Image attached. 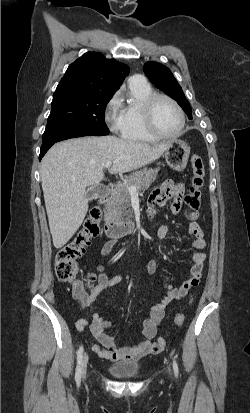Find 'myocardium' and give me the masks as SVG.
I'll list each match as a JSON object with an SVG mask.
<instances>
[{
  "instance_id": "1",
  "label": "myocardium",
  "mask_w": 250,
  "mask_h": 413,
  "mask_svg": "<svg viewBox=\"0 0 250 413\" xmlns=\"http://www.w3.org/2000/svg\"><path fill=\"white\" fill-rule=\"evenodd\" d=\"M161 99L166 100L169 103H171L179 113L180 126H179V129L177 130V132H175L173 134H163V133L159 132L155 127V124H154V109H155L156 103ZM142 110H143V119H144L145 128H146L147 132L153 138L158 139V140H170V139L177 138L182 134V132L184 130V127H185V124H186L185 113H184L182 107L179 105V103L176 100H174L172 97H170L166 94H163V93L154 92L146 98V100L143 103Z\"/></svg>"
}]
</instances>
